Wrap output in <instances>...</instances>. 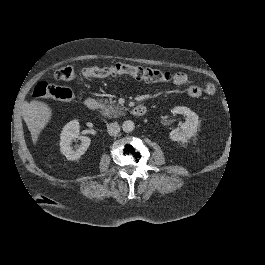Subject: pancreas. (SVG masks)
<instances>
[{
    "mask_svg": "<svg viewBox=\"0 0 265 265\" xmlns=\"http://www.w3.org/2000/svg\"><path fill=\"white\" fill-rule=\"evenodd\" d=\"M105 104L101 109V114L106 118H113L123 115V111L126 108H122L120 105H116V101L111 98L104 99Z\"/></svg>",
    "mask_w": 265,
    "mask_h": 265,
    "instance_id": "1",
    "label": "pancreas"
}]
</instances>
